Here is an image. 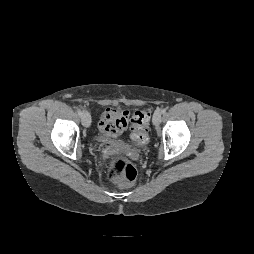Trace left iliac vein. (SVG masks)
<instances>
[{
  "label": "left iliac vein",
  "instance_id": "1",
  "mask_svg": "<svg viewBox=\"0 0 254 254\" xmlns=\"http://www.w3.org/2000/svg\"><path fill=\"white\" fill-rule=\"evenodd\" d=\"M162 116L160 111H156L153 116V124L158 126L161 122Z\"/></svg>",
  "mask_w": 254,
  "mask_h": 254
}]
</instances>
